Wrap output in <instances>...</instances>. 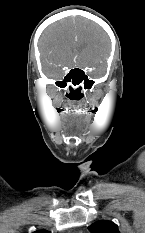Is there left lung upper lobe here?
Returning <instances> with one entry per match:
<instances>
[{
    "mask_svg": "<svg viewBox=\"0 0 145 233\" xmlns=\"http://www.w3.org/2000/svg\"><path fill=\"white\" fill-rule=\"evenodd\" d=\"M91 233H119L118 226L111 221H97L88 227Z\"/></svg>",
    "mask_w": 145,
    "mask_h": 233,
    "instance_id": "1",
    "label": "left lung upper lobe"
}]
</instances>
